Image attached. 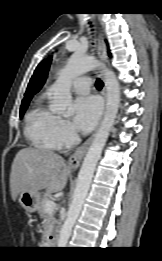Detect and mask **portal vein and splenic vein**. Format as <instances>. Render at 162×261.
<instances>
[{
    "mask_svg": "<svg viewBox=\"0 0 162 261\" xmlns=\"http://www.w3.org/2000/svg\"><path fill=\"white\" fill-rule=\"evenodd\" d=\"M55 208H56V203L53 200H49V201L46 202V204H45V211L46 212L51 213L55 210Z\"/></svg>",
    "mask_w": 162,
    "mask_h": 261,
    "instance_id": "portal-vein-and-splenic-vein-1",
    "label": "portal vein and splenic vein"
}]
</instances>
